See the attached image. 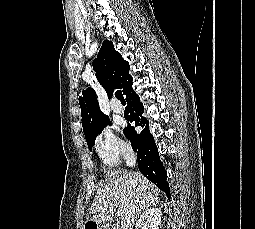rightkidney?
Returning a JSON list of instances; mask_svg holds the SVG:
<instances>
[{
	"label": "right kidney",
	"mask_w": 255,
	"mask_h": 229,
	"mask_svg": "<svg viewBox=\"0 0 255 229\" xmlns=\"http://www.w3.org/2000/svg\"><path fill=\"white\" fill-rule=\"evenodd\" d=\"M161 215V211L158 208L145 210L136 222L137 229H159Z\"/></svg>",
	"instance_id": "1"
}]
</instances>
